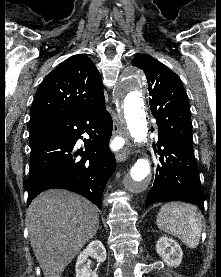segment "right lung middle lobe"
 <instances>
[{
  "label": "right lung middle lobe",
  "mask_w": 221,
  "mask_h": 277,
  "mask_svg": "<svg viewBox=\"0 0 221 277\" xmlns=\"http://www.w3.org/2000/svg\"><path fill=\"white\" fill-rule=\"evenodd\" d=\"M30 144L43 136L44 131L41 128L29 125Z\"/></svg>",
  "instance_id": "dd1d6c3e"
}]
</instances>
